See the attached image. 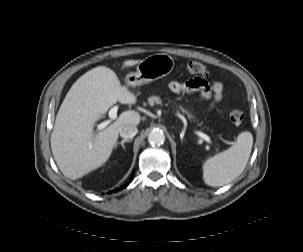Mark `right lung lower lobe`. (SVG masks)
Instances as JSON below:
<instances>
[{
    "instance_id": "obj_1",
    "label": "right lung lower lobe",
    "mask_w": 303,
    "mask_h": 252,
    "mask_svg": "<svg viewBox=\"0 0 303 252\" xmlns=\"http://www.w3.org/2000/svg\"><path fill=\"white\" fill-rule=\"evenodd\" d=\"M127 185H128V183H127L126 185L122 186V187H121L119 190H121V189L125 188Z\"/></svg>"
}]
</instances>
